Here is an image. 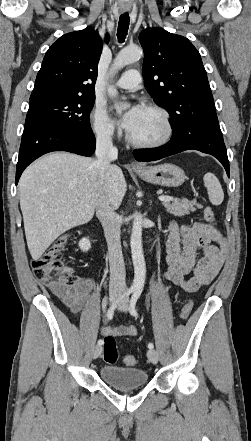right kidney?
Masks as SVG:
<instances>
[{
	"instance_id": "obj_1",
	"label": "right kidney",
	"mask_w": 251,
	"mask_h": 441,
	"mask_svg": "<svg viewBox=\"0 0 251 441\" xmlns=\"http://www.w3.org/2000/svg\"><path fill=\"white\" fill-rule=\"evenodd\" d=\"M79 247L84 252L88 251L91 248V243H90L89 238H82L79 241Z\"/></svg>"
}]
</instances>
